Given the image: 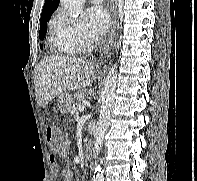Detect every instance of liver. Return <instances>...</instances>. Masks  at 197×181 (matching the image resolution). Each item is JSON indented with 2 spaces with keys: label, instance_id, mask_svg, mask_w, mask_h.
<instances>
[{
  "label": "liver",
  "instance_id": "liver-1",
  "mask_svg": "<svg viewBox=\"0 0 197 181\" xmlns=\"http://www.w3.org/2000/svg\"><path fill=\"white\" fill-rule=\"evenodd\" d=\"M95 64L80 56L57 55L43 58L34 69L37 104L45 107L60 94L85 88L94 80Z\"/></svg>",
  "mask_w": 197,
  "mask_h": 181
}]
</instances>
